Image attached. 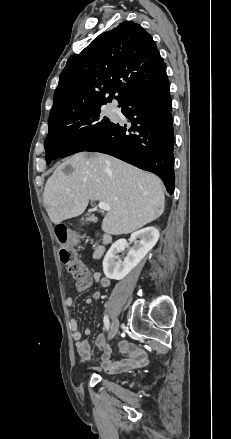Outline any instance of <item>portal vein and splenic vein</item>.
<instances>
[{
    "label": "portal vein and splenic vein",
    "mask_w": 231,
    "mask_h": 439,
    "mask_svg": "<svg viewBox=\"0 0 231 439\" xmlns=\"http://www.w3.org/2000/svg\"><path fill=\"white\" fill-rule=\"evenodd\" d=\"M98 207H99L101 210H105V211H110V210H111V207H110L107 203L102 202V201H100V202L98 203Z\"/></svg>",
    "instance_id": "obj_1"
}]
</instances>
